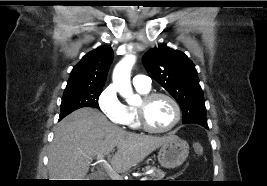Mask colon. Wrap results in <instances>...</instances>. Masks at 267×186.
<instances>
[{
  "label": "colon",
  "instance_id": "colon-1",
  "mask_svg": "<svg viewBox=\"0 0 267 186\" xmlns=\"http://www.w3.org/2000/svg\"><path fill=\"white\" fill-rule=\"evenodd\" d=\"M193 149H194V152L197 154V155H202L203 153V147L200 143H194L193 144Z\"/></svg>",
  "mask_w": 267,
  "mask_h": 186
}]
</instances>
